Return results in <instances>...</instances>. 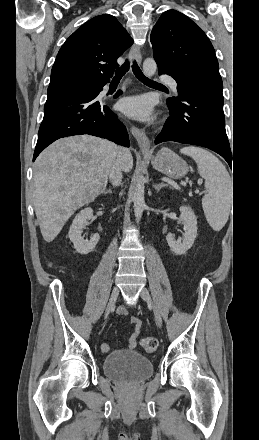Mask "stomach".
Instances as JSON below:
<instances>
[{"label": "stomach", "instance_id": "obj_1", "mask_svg": "<svg viewBox=\"0 0 259 440\" xmlns=\"http://www.w3.org/2000/svg\"><path fill=\"white\" fill-rule=\"evenodd\" d=\"M151 164L157 171L173 179H180L188 172L187 163L168 148H162L151 159Z\"/></svg>", "mask_w": 259, "mask_h": 440}]
</instances>
